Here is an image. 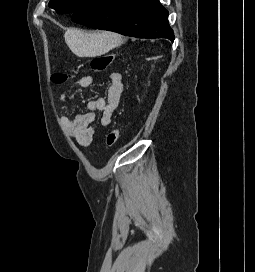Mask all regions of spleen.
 I'll return each mask as SVG.
<instances>
[{"label": "spleen", "instance_id": "1", "mask_svg": "<svg viewBox=\"0 0 255 272\" xmlns=\"http://www.w3.org/2000/svg\"><path fill=\"white\" fill-rule=\"evenodd\" d=\"M65 42L80 57H94L107 53L121 43V37L111 32H86L70 28L65 32Z\"/></svg>", "mask_w": 255, "mask_h": 272}]
</instances>
